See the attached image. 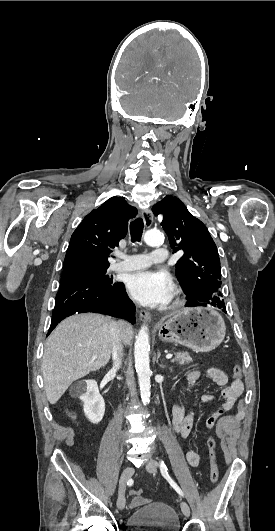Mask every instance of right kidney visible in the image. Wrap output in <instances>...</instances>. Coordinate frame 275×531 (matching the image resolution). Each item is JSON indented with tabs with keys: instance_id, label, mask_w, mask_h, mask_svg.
I'll use <instances>...</instances> for the list:
<instances>
[{
	"instance_id": "ca27d5eb",
	"label": "right kidney",
	"mask_w": 275,
	"mask_h": 531,
	"mask_svg": "<svg viewBox=\"0 0 275 531\" xmlns=\"http://www.w3.org/2000/svg\"><path fill=\"white\" fill-rule=\"evenodd\" d=\"M71 397H78L80 399L85 417L89 419L90 423H100L105 413V403L101 397L96 381L88 379V381H77L70 387Z\"/></svg>"
}]
</instances>
